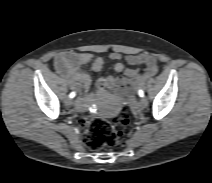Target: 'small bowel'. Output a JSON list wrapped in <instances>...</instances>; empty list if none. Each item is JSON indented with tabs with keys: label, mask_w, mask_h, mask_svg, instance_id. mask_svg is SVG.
I'll use <instances>...</instances> for the list:
<instances>
[{
	"label": "small bowel",
	"mask_w": 212,
	"mask_h": 183,
	"mask_svg": "<svg viewBox=\"0 0 212 183\" xmlns=\"http://www.w3.org/2000/svg\"><path fill=\"white\" fill-rule=\"evenodd\" d=\"M126 62L132 66H145L144 72L137 69L125 68L123 58L118 53L109 55L108 60L113 62V70L116 73L102 76L97 80L99 90H112L123 95H132L145 81V79L157 72V58L149 53L126 55ZM91 64L93 72H99L105 59L90 53L62 52L55 58L57 71L65 78L71 88L76 90H88L91 76L81 69L82 66ZM91 99V94L78 99L77 107L83 109Z\"/></svg>",
	"instance_id": "c3829d8e"
}]
</instances>
